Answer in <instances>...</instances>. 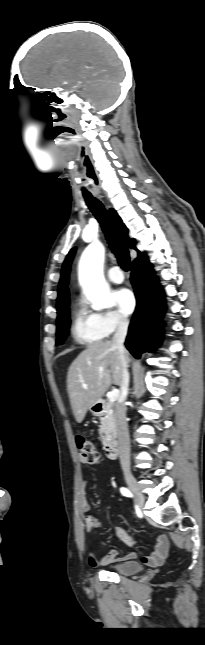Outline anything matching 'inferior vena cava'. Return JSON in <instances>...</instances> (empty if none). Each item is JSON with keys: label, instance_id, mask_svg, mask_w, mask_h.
I'll return each mask as SVG.
<instances>
[{"label": "inferior vena cava", "instance_id": "inferior-vena-cava-1", "mask_svg": "<svg viewBox=\"0 0 205 645\" xmlns=\"http://www.w3.org/2000/svg\"><path fill=\"white\" fill-rule=\"evenodd\" d=\"M129 322L126 318L120 317L118 321L117 330L113 336L112 343L118 349L121 356V366H122V380H121V395L119 402L115 408V422L118 435L119 443V458L120 464L124 471L130 470V439L128 426L126 422V408L125 400L128 394L129 386V372H128V360L126 358V349L124 347V341L127 335Z\"/></svg>", "mask_w": 205, "mask_h": 645}]
</instances>
